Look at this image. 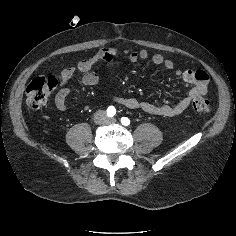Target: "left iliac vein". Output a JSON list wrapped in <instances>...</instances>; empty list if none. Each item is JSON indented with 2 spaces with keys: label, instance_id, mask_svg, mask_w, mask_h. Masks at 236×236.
<instances>
[{
  "label": "left iliac vein",
  "instance_id": "obj_1",
  "mask_svg": "<svg viewBox=\"0 0 236 236\" xmlns=\"http://www.w3.org/2000/svg\"><path fill=\"white\" fill-rule=\"evenodd\" d=\"M108 121L109 122H116V119L115 118H110Z\"/></svg>",
  "mask_w": 236,
  "mask_h": 236
}]
</instances>
